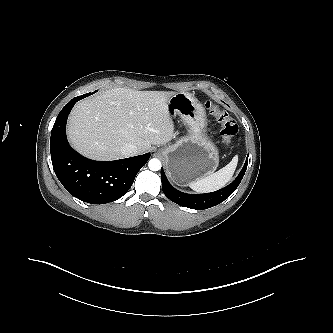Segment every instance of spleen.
Instances as JSON below:
<instances>
[{
  "mask_svg": "<svg viewBox=\"0 0 333 333\" xmlns=\"http://www.w3.org/2000/svg\"><path fill=\"white\" fill-rule=\"evenodd\" d=\"M238 164V156H234L229 164L219 171L189 183V187L196 192H213L225 186L232 178Z\"/></svg>",
  "mask_w": 333,
  "mask_h": 333,
  "instance_id": "obj_1",
  "label": "spleen"
}]
</instances>
